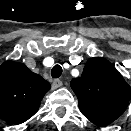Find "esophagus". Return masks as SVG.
Wrapping results in <instances>:
<instances>
[{"instance_id":"1","label":"esophagus","mask_w":131,"mask_h":131,"mask_svg":"<svg viewBox=\"0 0 131 131\" xmlns=\"http://www.w3.org/2000/svg\"><path fill=\"white\" fill-rule=\"evenodd\" d=\"M61 86H62V81L61 80L56 79V80L53 81V84H52L53 89L60 88Z\"/></svg>"}]
</instances>
